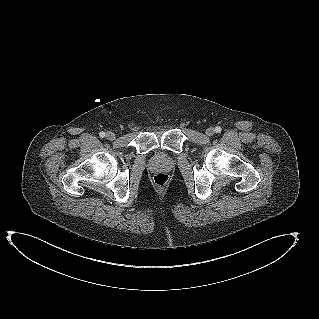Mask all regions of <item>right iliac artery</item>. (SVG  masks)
<instances>
[{
  "label": "right iliac artery",
  "instance_id": "obj_1",
  "mask_svg": "<svg viewBox=\"0 0 319 319\" xmlns=\"http://www.w3.org/2000/svg\"><path fill=\"white\" fill-rule=\"evenodd\" d=\"M99 135L101 138H104L106 136L105 132H100Z\"/></svg>",
  "mask_w": 319,
  "mask_h": 319
}]
</instances>
